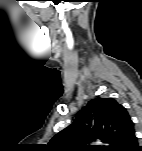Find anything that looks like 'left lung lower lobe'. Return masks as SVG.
<instances>
[{
	"label": "left lung lower lobe",
	"instance_id": "0a47b994",
	"mask_svg": "<svg viewBox=\"0 0 142 151\" xmlns=\"http://www.w3.org/2000/svg\"><path fill=\"white\" fill-rule=\"evenodd\" d=\"M115 151H142V147L138 146L134 129L121 140Z\"/></svg>",
	"mask_w": 142,
	"mask_h": 151
}]
</instances>
